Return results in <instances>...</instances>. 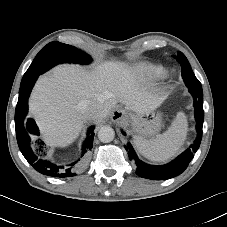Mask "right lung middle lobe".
Returning <instances> with one entry per match:
<instances>
[{
  "instance_id": "dd1d6c3e",
  "label": "right lung middle lobe",
  "mask_w": 227,
  "mask_h": 227,
  "mask_svg": "<svg viewBox=\"0 0 227 227\" xmlns=\"http://www.w3.org/2000/svg\"><path fill=\"white\" fill-rule=\"evenodd\" d=\"M91 61L90 56L67 44L58 41L47 44L35 57L32 64L24 74L21 84L34 76L40 75L59 63L87 64Z\"/></svg>"
}]
</instances>
